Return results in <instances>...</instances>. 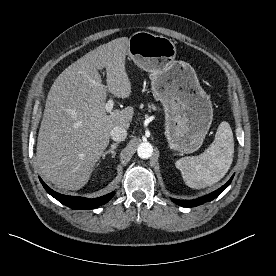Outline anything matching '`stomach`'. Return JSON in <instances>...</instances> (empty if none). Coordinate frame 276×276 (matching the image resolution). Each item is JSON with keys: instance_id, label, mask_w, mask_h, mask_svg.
<instances>
[{"instance_id": "obj_1", "label": "stomach", "mask_w": 276, "mask_h": 276, "mask_svg": "<svg viewBox=\"0 0 276 276\" xmlns=\"http://www.w3.org/2000/svg\"><path fill=\"white\" fill-rule=\"evenodd\" d=\"M171 39L139 31L129 38L127 54L151 73V88L165 112V134L172 150L192 153L200 148L211 126L213 108L192 66L176 61Z\"/></svg>"}]
</instances>
